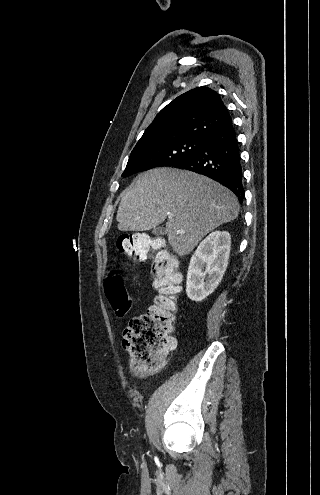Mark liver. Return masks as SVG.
<instances>
[{"mask_svg":"<svg viewBox=\"0 0 320 495\" xmlns=\"http://www.w3.org/2000/svg\"><path fill=\"white\" fill-rule=\"evenodd\" d=\"M173 217L165 232L172 249L189 254L218 226L238 217L236 196L221 184L175 168H158L140 175L124 191L117 211L118 230L147 231Z\"/></svg>","mask_w":320,"mask_h":495,"instance_id":"1","label":"liver"}]
</instances>
